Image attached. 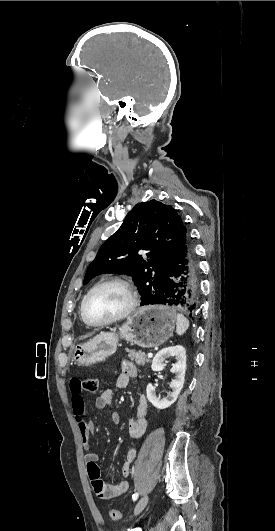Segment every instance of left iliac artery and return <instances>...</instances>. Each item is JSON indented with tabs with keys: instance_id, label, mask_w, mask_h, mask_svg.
Returning a JSON list of instances; mask_svg holds the SVG:
<instances>
[{
	"instance_id": "obj_1",
	"label": "left iliac artery",
	"mask_w": 275,
	"mask_h": 531,
	"mask_svg": "<svg viewBox=\"0 0 275 531\" xmlns=\"http://www.w3.org/2000/svg\"><path fill=\"white\" fill-rule=\"evenodd\" d=\"M138 496H139V495H138L137 492L134 493V494L132 495V499H133V501H136V500L138 499Z\"/></svg>"
}]
</instances>
